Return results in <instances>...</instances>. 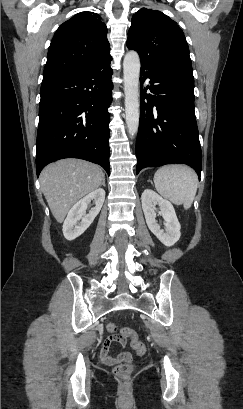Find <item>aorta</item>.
<instances>
[{
	"label": "aorta",
	"instance_id": "1",
	"mask_svg": "<svg viewBox=\"0 0 243 409\" xmlns=\"http://www.w3.org/2000/svg\"><path fill=\"white\" fill-rule=\"evenodd\" d=\"M125 120L128 134L134 137L138 132L140 118L139 75L140 58L136 51L126 53L123 61Z\"/></svg>",
	"mask_w": 243,
	"mask_h": 409
}]
</instances>
